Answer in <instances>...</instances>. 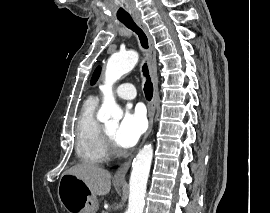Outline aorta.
I'll return each mask as SVG.
<instances>
[{"mask_svg":"<svg viewBox=\"0 0 270 213\" xmlns=\"http://www.w3.org/2000/svg\"><path fill=\"white\" fill-rule=\"evenodd\" d=\"M138 59V53L133 50L114 53L108 59L105 71V85L102 89L104 100L98 112L100 121L118 122L122 118V111L112 94V85L123 75L130 72L137 64ZM152 158L153 148L151 144H148L139 150L133 160L129 181L130 194L127 213H143Z\"/></svg>","mask_w":270,"mask_h":213,"instance_id":"aorta-1","label":"aorta"}]
</instances>
